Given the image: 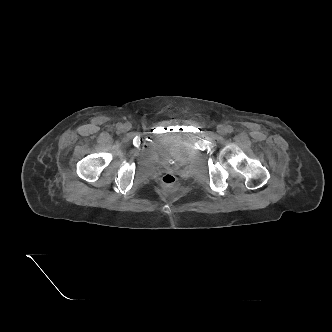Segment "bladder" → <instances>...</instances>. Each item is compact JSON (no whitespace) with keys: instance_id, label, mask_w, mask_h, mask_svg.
I'll use <instances>...</instances> for the list:
<instances>
[{"instance_id":"31cf9c89","label":"bladder","mask_w":332,"mask_h":332,"mask_svg":"<svg viewBox=\"0 0 332 332\" xmlns=\"http://www.w3.org/2000/svg\"><path fill=\"white\" fill-rule=\"evenodd\" d=\"M189 137L184 133H171L162 136L156 145L163 160L172 159L177 163L184 160L189 149Z\"/></svg>"}]
</instances>
